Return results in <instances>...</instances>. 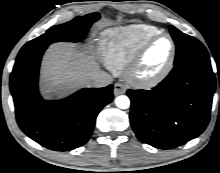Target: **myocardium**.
Listing matches in <instances>:
<instances>
[{
	"mask_svg": "<svg viewBox=\"0 0 220 173\" xmlns=\"http://www.w3.org/2000/svg\"><path fill=\"white\" fill-rule=\"evenodd\" d=\"M162 37L170 42V53L165 66L156 74L143 76L140 73L143 58L149 47ZM176 58V44L173 37L167 32H159L145 40L136 51L132 61L125 69V79L132 86L140 89H149L161 83L171 72Z\"/></svg>",
	"mask_w": 220,
	"mask_h": 173,
	"instance_id": "myocardium-1",
	"label": "myocardium"
}]
</instances>
